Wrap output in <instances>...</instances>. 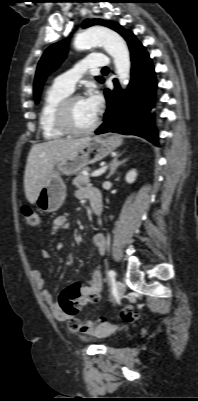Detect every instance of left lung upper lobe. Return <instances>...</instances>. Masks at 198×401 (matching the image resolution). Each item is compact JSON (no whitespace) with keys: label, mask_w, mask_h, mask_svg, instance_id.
Instances as JSON below:
<instances>
[{"label":"left lung upper lobe","mask_w":198,"mask_h":401,"mask_svg":"<svg viewBox=\"0 0 198 401\" xmlns=\"http://www.w3.org/2000/svg\"><path fill=\"white\" fill-rule=\"evenodd\" d=\"M91 25H103L117 31L121 36L125 37L130 31L123 29L117 23L111 21H105L101 19L85 20L83 27H89ZM67 55V42H57L46 49L43 56L41 57L34 81V98L36 103L39 102L42 85L46 77L56 70ZM99 82H103L102 77H97Z\"/></svg>","instance_id":"obj_1"}]
</instances>
